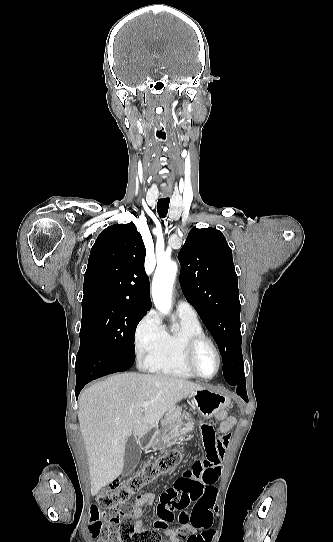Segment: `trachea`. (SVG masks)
<instances>
[{
	"label": "trachea",
	"instance_id": "1",
	"mask_svg": "<svg viewBox=\"0 0 333 542\" xmlns=\"http://www.w3.org/2000/svg\"><path fill=\"white\" fill-rule=\"evenodd\" d=\"M169 197L159 198L157 203V212L161 218H165L169 208Z\"/></svg>",
	"mask_w": 333,
	"mask_h": 542
}]
</instances>
